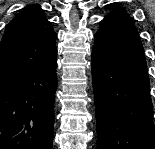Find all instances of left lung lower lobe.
<instances>
[{"label": "left lung lower lobe", "mask_w": 155, "mask_h": 149, "mask_svg": "<svg viewBox=\"0 0 155 149\" xmlns=\"http://www.w3.org/2000/svg\"><path fill=\"white\" fill-rule=\"evenodd\" d=\"M97 149H154L155 126L143 47L127 13L100 22L92 50Z\"/></svg>", "instance_id": "obj_1"}]
</instances>
